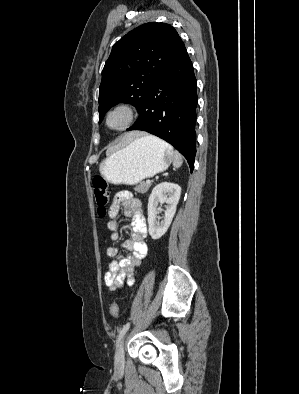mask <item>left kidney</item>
Listing matches in <instances>:
<instances>
[{
  "mask_svg": "<svg viewBox=\"0 0 299 394\" xmlns=\"http://www.w3.org/2000/svg\"><path fill=\"white\" fill-rule=\"evenodd\" d=\"M181 195V187L175 183L162 182L156 185L148 200V228L152 239L161 238L168 230L176 212ZM166 203L164 220L159 223L156 218L160 210L158 204Z\"/></svg>",
  "mask_w": 299,
  "mask_h": 394,
  "instance_id": "left-kidney-1",
  "label": "left kidney"
}]
</instances>
